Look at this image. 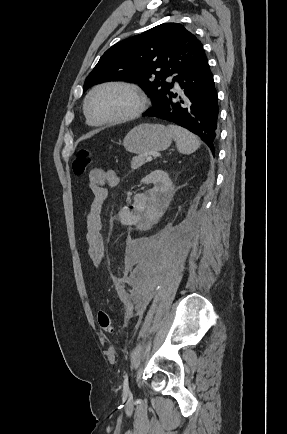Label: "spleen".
<instances>
[{"instance_id":"1","label":"spleen","mask_w":287,"mask_h":434,"mask_svg":"<svg viewBox=\"0 0 287 434\" xmlns=\"http://www.w3.org/2000/svg\"><path fill=\"white\" fill-rule=\"evenodd\" d=\"M168 130L180 153L191 154L200 147L198 138L188 130L176 125H168Z\"/></svg>"}]
</instances>
